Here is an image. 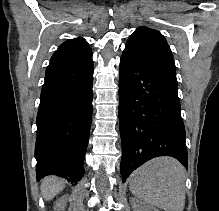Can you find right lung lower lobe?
Listing matches in <instances>:
<instances>
[{
	"instance_id": "1",
	"label": "right lung lower lobe",
	"mask_w": 219,
	"mask_h": 211,
	"mask_svg": "<svg viewBox=\"0 0 219 211\" xmlns=\"http://www.w3.org/2000/svg\"><path fill=\"white\" fill-rule=\"evenodd\" d=\"M92 58L51 62L45 74L37 115V178L58 175L76 183L92 120Z\"/></svg>"
}]
</instances>
